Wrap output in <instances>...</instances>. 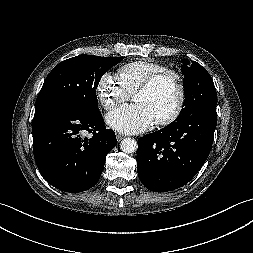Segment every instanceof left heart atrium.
Returning <instances> with one entry per match:
<instances>
[{
	"instance_id": "left-heart-atrium-1",
	"label": "left heart atrium",
	"mask_w": 253,
	"mask_h": 253,
	"mask_svg": "<svg viewBox=\"0 0 253 253\" xmlns=\"http://www.w3.org/2000/svg\"><path fill=\"white\" fill-rule=\"evenodd\" d=\"M106 119L109 126L127 134L143 132L155 121L152 112L144 104L124 105L108 114Z\"/></svg>"
}]
</instances>
